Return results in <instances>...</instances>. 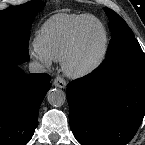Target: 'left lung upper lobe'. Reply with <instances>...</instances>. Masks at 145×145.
I'll return each instance as SVG.
<instances>
[{
  "label": "left lung upper lobe",
  "instance_id": "1",
  "mask_svg": "<svg viewBox=\"0 0 145 145\" xmlns=\"http://www.w3.org/2000/svg\"><path fill=\"white\" fill-rule=\"evenodd\" d=\"M109 19L111 40L100 70L111 71L125 66H145L144 53L127 23L113 10L104 7Z\"/></svg>",
  "mask_w": 145,
  "mask_h": 145
}]
</instances>
